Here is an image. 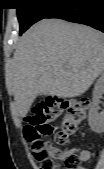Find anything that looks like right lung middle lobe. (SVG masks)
I'll use <instances>...</instances> for the list:
<instances>
[{
	"label": "right lung middle lobe",
	"instance_id": "obj_1",
	"mask_svg": "<svg viewBox=\"0 0 104 169\" xmlns=\"http://www.w3.org/2000/svg\"><path fill=\"white\" fill-rule=\"evenodd\" d=\"M69 0H16L21 35L35 22L47 18L60 5Z\"/></svg>",
	"mask_w": 104,
	"mask_h": 169
}]
</instances>
